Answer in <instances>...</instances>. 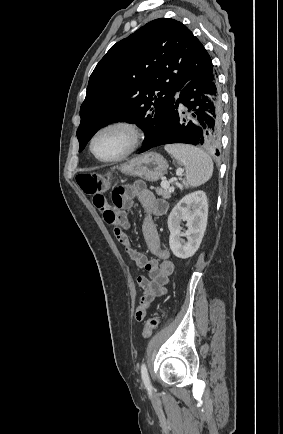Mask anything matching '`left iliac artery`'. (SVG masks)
<instances>
[{
    "label": "left iliac artery",
    "mask_w": 283,
    "mask_h": 434,
    "mask_svg": "<svg viewBox=\"0 0 283 434\" xmlns=\"http://www.w3.org/2000/svg\"><path fill=\"white\" fill-rule=\"evenodd\" d=\"M141 377H142V380H143V383H144L146 389L148 391H151L152 385H151L150 378H149L148 371H147L145 364H142V366H141Z\"/></svg>",
    "instance_id": "44dca946"
}]
</instances>
